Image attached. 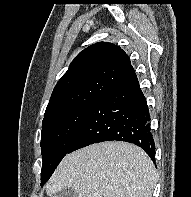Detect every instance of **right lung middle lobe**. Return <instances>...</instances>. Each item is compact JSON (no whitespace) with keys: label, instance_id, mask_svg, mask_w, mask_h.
I'll return each mask as SVG.
<instances>
[{"label":"right lung middle lobe","instance_id":"obj_1","mask_svg":"<svg viewBox=\"0 0 191 197\" xmlns=\"http://www.w3.org/2000/svg\"><path fill=\"white\" fill-rule=\"evenodd\" d=\"M95 104L71 107L43 119L41 132V185L52 175L67 154Z\"/></svg>","mask_w":191,"mask_h":197}]
</instances>
